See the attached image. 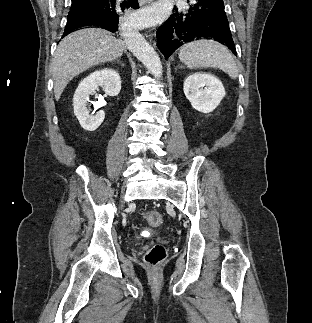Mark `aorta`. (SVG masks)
Returning a JSON list of instances; mask_svg holds the SVG:
<instances>
[{"label":"aorta","instance_id":"obj_1","mask_svg":"<svg viewBox=\"0 0 312 323\" xmlns=\"http://www.w3.org/2000/svg\"><path fill=\"white\" fill-rule=\"evenodd\" d=\"M124 38L126 46H128V50L132 52L133 56H136L144 64L145 68L154 78H161L162 64L160 58L154 48L146 42L144 36H141L138 30L133 28L129 32L124 30Z\"/></svg>","mask_w":312,"mask_h":323}]
</instances>
